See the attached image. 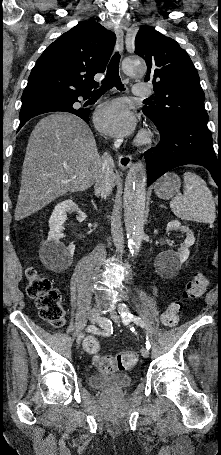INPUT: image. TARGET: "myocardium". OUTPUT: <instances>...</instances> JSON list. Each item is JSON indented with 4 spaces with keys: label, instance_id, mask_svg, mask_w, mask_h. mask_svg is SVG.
Instances as JSON below:
<instances>
[{
    "label": "myocardium",
    "instance_id": "myocardium-1",
    "mask_svg": "<svg viewBox=\"0 0 221 455\" xmlns=\"http://www.w3.org/2000/svg\"><path fill=\"white\" fill-rule=\"evenodd\" d=\"M152 138H153V134L151 131L149 130H143L141 131V133L138 135L137 139H136V143L138 145H145V144H148L152 141Z\"/></svg>",
    "mask_w": 221,
    "mask_h": 455
}]
</instances>
